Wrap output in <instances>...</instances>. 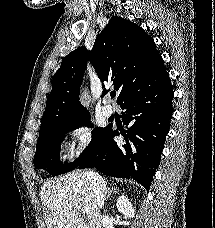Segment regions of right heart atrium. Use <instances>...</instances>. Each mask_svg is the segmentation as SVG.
I'll return each mask as SVG.
<instances>
[{
  "mask_svg": "<svg viewBox=\"0 0 215 228\" xmlns=\"http://www.w3.org/2000/svg\"><path fill=\"white\" fill-rule=\"evenodd\" d=\"M71 140L69 158L71 161L82 158L93 146L96 132L93 124L86 119L79 120L68 130Z\"/></svg>",
  "mask_w": 215,
  "mask_h": 228,
  "instance_id": "1",
  "label": "right heart atrium"
}]
</instances>
